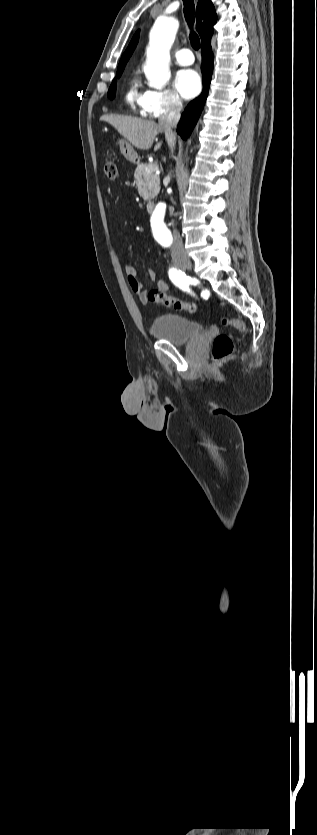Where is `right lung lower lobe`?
<instances>
[{"label": "right lung lower lobe", "instance_id": "obj_1", "mask_svg": "<svg viewBox=\"0 0 317 835\" xmlns=\"http://www.w3.org/2000/svg\"><path fill=\"white\" fill-rule=\"evenodd\" d=\"M202 78H203V92L194 100H192L185 108L180 123L177 127V133L183 139L187 138L193 130L197 120L203 110L208 90L211 82L213 72V54L211 49V37L202 42Z\"/></svg>", "mask_w": 317, "mask_h": 835}]
</instances>
